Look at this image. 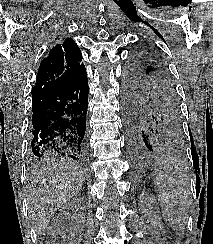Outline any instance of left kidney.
<instances>
[{
  "label": "left kidney",
  "instance_id": "left-kidney-1",
  "mask_svg": "<svg viewBox=\"0 0 213 244\" xmlns=\"http://www.w3.org/2000/svg\"><path fill=\"white\" fill-rule=\"evenodd\" d=\"M140 199L142 207H150L154 203V199L146 193H143Z\"/></svg>",
  "mask_w": 213,
  "mask_h": 244
}]
</instances>
